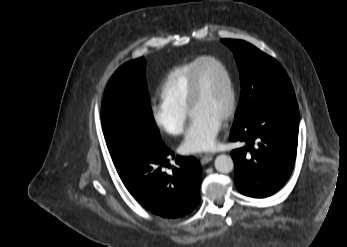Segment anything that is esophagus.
<instances>
[{
    "instance_id": "34e87169",
    "label": "esophagus",
    "mask_w": 347,
    "mask_h": 247,
    "mask_svg": "<svg viewBox=\"0 0 347 247\" xmlns=\"http://www.w3.org/2000/svg\"><path fill=\"white\" fill-rule=\"evenodd\" d=\"M199 157L201 158L202 164H207L213 159V154L211 153L200 154Z\"/></svg>"
}]
</instances>
